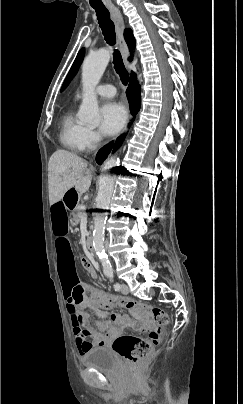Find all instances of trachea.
<instances>
[{
	"label": "trachea",
	"instance_id": "obj_1",
	"mask_svg": "<svg viewBox=\"0 0 243 404\" xmlns=\"http://www.w3.org/2000/svg\"><path fill=\"white\" fill-rule=\"evenodd\" d=\"M93 8L96 12L97 20L102 30V34L104 35V39L106 40V43L113 47V64L115 71L120 76V80L122 81V83L124 85H127L129 81V74L124 66L119 50L115 48L116 34L114 23L110 18V12L105 6H98Z\"/></svg>",
	"mask_w": 243,
	"mask_h": 404
}]
</instances>
